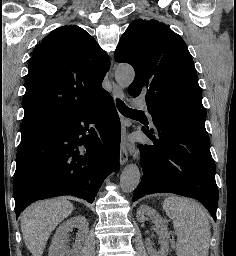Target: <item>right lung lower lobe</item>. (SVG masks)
Wrapping results in <instances>:
<instances>
[{
  "mask_svg": "<svg viewBox=\"0 0 236 256\" xmlns=\"http://www.w3.org/2000/svg\"><path fill=\"white\" fill-rule=\"evenodd\" d=\"M81 122L94 126L88 130ZM119 151L120 120L109 94L21 141L13 181L17 218L34 201L50 197L73 195L92 203L118 169Z\"/></svg>",
  "mask_w": 236,
  "mask_h": 256,
  "instance_id": "98d812e1",
  "label": "right lung lower lobe"
}]
</instances>
